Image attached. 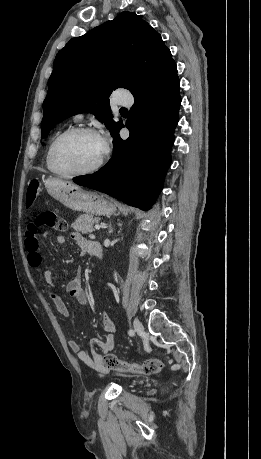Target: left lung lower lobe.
Here are the masks:
<instances>
[{"instance_id": "left-lung-lower-lobe-1", "label": "left lung lower lobe", "mask_w": 261, "mask_h": 459, "mask_svg": "<svg viewBox=\"0 0 261 459\" xmlns=\"http://www.w3.org/2000/svg\"><path fill=\"white\" fill-rule=\"evenodd\" d=\"M126 127L130 136L114 138L111 160L93 175L74 179L78 185L106 193L128 205L149 210L161 192L171 163L170 150L179 120L180 81L172 62L152 83L134 94Z\"/></svg>"}]
</instances>
